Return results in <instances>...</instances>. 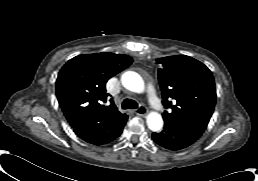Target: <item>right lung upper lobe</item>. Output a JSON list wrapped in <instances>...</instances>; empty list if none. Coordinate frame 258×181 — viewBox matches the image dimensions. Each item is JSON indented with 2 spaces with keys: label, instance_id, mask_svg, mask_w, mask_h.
<instances>
[{
  "label": "right lung upper lobe",
  "instance_id": "cb5924a9",
  "mask_svg": "<svg viewBox=\"0 0 258 181\" xmlns=\"http://www.w3.org/2000/svg\"><path fill=\"white\" fill-rule=\"evenodd\" d=\"M127 55L102 52L83 54L69 60L56 80L59 105L74 129L89 128L109 122L121 114L112 99L105 105L109 94L106 82L132 64Z\"/></svg>",
  "mask_w": 258,
  "mask_h": 181
}]
</instances>
